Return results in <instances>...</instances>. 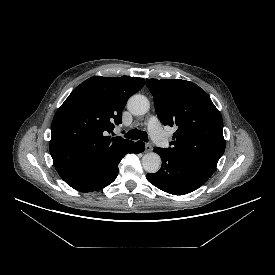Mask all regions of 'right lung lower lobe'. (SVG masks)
<instances>
[{"label":"right lung lower lobe","instance_id":"98d812e1","mask_svg":"<svg viewBox=\"0 0 275 275\" xmlns=\"http://www.w3.org/2000/svg\"><path fill=\"white\" fill-rule=\"evenodd\" d=\"M144 143L138 141L131 144L118 157L112 160L106 166L99 168L90 173L64 180L69 186L80 192H91L100 190L111 184L118 175V164L121 159L128 153H141L144 151Z\"/></svg>","mask_w":275,"mask_h":275}]
</instances>
